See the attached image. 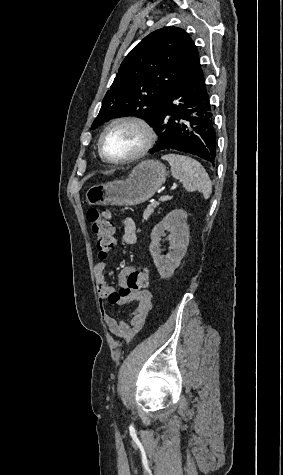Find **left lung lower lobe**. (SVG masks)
<instances>
[{
	"label": "left lung lower lobe",
	"mask_w": 283,
	"mask_h": 475,
	"mask_svg": "<svg viewBox=\"0 0 283 475\" xmlns=\"http://www.w3.org/2000/svg\"><path fill=\"white\" fill-rule=\"evenodd\" d=\"M151 126L159 140L150 153L175 149L215 165L216 129L201 67L185 75L169 90Z\"/></svg>",
	"instance_id": "1"
}]
</instances>
